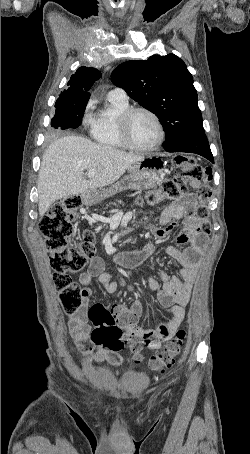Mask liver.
I'll use <instances>...</instances> for the list:
<instances>
[{
	"label": "liver",
	"instance_id": "1",
	"mask_svg": "<svg viewBox=\"0 0 250 454\" xmlns=\"http://www.w3.org/2000/svg\"><path fill=\"white\" fill-rule=\"evenodd\" d=\"M143 159L80 136L56 139L44 152L39 171L40 216L58 199L115 183L127 169ZM92 169L96 170L95 176L86 180L84 171Z\"/></svg>",
	"mask_w": 250,
	"mask_h": 454
}]
</instances>
